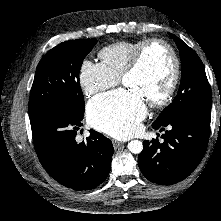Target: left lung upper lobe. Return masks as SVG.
Segmentation results:
<instances>
[{
	"instance_id": "obj_1",
	"label": "left lung upper lobe",
	"mask_w": 221,
	"mask_h": 221,
	"mask_svg": "<svg viewBox=\"0 0 221 221\" xmlns=\"http://www.w3.org/2000/svg\"><path fill=\"white\" fill-rule=\"evenodd\" d=\"M180 51L182 61L181 84L177 96L154 121L164 124L191 111L211 112L212 93L199 56L180 38L170 33Z\"/></svg>"
}]
</instances>
